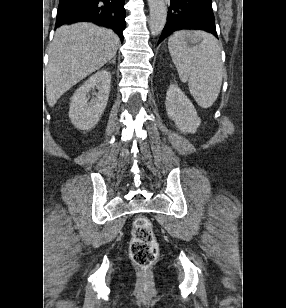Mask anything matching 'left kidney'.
Here are the masks:
<instances>
[{
  "label": "left kidney",
  "mask_w": 286,
  "mask_h": 308,
  "mask_svg": "<svg viewBox=\"0 0 286 308\" xmlns=\"http://www.w3.org/2000/svg\"><path fill=\"white\" fill-rule=\"evenodd\" d=\"M168 117L174 121L181 133H195L201 124L197 111L192 102L176 84L169 86L166 101Z\"/></svg>",
  "instance_id": "obj_1"
}]
</instances>
